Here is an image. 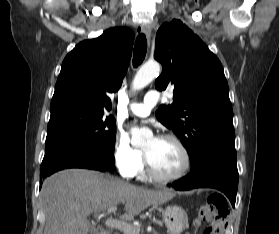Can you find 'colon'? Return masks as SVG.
I'll list each match as a JSON object with an SVG mask.
<instances>
[{"instance_id": "5ec220e1", "label": "colon", "mask_w": 279, "mask_h": 234, "mask_svg": "<svg viewBox=\"0 0 279 234\" xmlns=\"http://www.w3.org/2000/svg\"><path fill=\"white\" fill-rule=\"evenodd\" d=\"M228 214L229 205L226 199L222 195L214 194L199 207L197 222L205 224L203 234H224Z\"/></svg>"}]
</instances>
